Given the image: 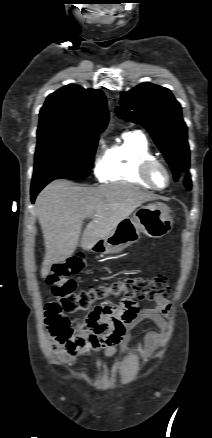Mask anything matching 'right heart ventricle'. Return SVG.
<instances>
[{
	"label": "right heart ventricle",
	"instance_id": "1",
	"mask_svg": "<svg viewBox=\"0 0 212 438\" xmlns=\"http://www.w3.org/2000/svg\"><path fill=\"white\" fill-rule=\"evenodd\" d=\"M155 158L149 141L140 131L123 134L122 140L112 145L105 154V173L102 180L127 182L151 189L138 175L143 160Z\"/></svg>",
	"mask_w": 212,
	"mask_h": 438
}]
</instances>
